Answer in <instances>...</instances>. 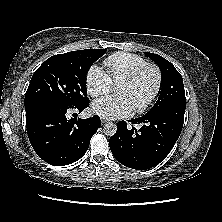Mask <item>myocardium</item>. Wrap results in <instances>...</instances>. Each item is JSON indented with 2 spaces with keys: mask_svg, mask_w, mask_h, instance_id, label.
<instances>
[{
  "mask_svg": "<svg viewBox=\"0 0 222 222\" xmlns=\"http://www.w3.org/2000/svg\"><path fill=\"white\" fill-rule=\"evenodd\" d=\"M152 70L156 76V84L155 88L150 95V97L140 106L133 108V111L136 113H143L145 112L157 99L161 87H162V73L158 66L155 64H145L138 69H136L133 73H131L128 77L123 79L118 85H130L134 83L145 71Z\"/></svg>",
  "mask_w": 222,
  "mask_h": 222,
  "instance_id": "1",
  "label": "myocardium"
}]
</instances>
